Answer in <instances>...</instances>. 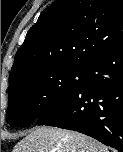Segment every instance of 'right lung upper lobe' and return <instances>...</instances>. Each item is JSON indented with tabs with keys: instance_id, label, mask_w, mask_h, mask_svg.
<instances>
[{
	"instance_id": "right-lung-upper-lobe-1",
	"label": "right lung upper lobe",
	"mask_w": 123,
	"mask_h": 152,
	"mask_svg": "<svg viewBox=\"0 0 123 152\" xmlns=\"http://www.w3.org/2000/svg\"><path fill=\"white\" fill-rule=\"evenodd\" d=\"M123 43V0H57L29 29L16 53L9 88L24 76L85 68Z\"/></svg>"
}]
</instances>
